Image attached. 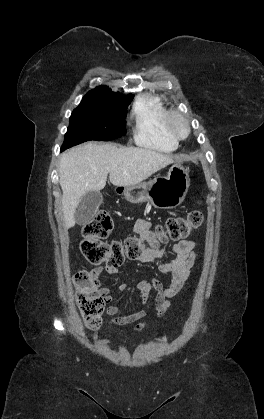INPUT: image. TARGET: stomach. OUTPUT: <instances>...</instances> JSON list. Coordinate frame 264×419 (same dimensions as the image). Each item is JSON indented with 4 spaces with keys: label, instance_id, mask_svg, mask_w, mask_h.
<instances>
[{
    "label": "stomach",
    "instance_id": "obj_1",
    "mask_svg": "<svg viewBox=\"0 0 264 419\" xmlns=\"http://www.w3.org/2000/svg\"><path fill=\"white\" fill-rule=\"evenodd\" d=\"M188 170L174 163L166 177H156L149 182L124 187V197L133 204L149 202L155 208L172 209L179 206L188 192Z\"/></svg>",
    "mask_w": 264,
    "mask_h": 419
}]
</instances>
